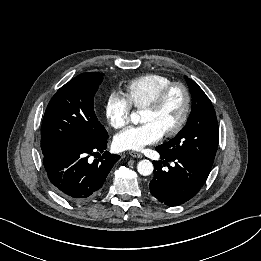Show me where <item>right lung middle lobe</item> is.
I'll use <instances>...</instances> for the list:
<instances>
[{"instance_id":"dd1d6c3e","label":"right lung middle lobe","mask_w":261,"mask_h":261,"mask_svg":"<svg viewBox=\"0 0 261 261\" xmlns=\"http://www.w3.org/2000/svg\"><path fill=\"white\" fill-rule=\"evenodd\" d=\"M102 80L100 73H82L52 97L42 122L44 156L68 145L91 143L108 135L94 112V96Z\"/></svg>"}]
</instances>
